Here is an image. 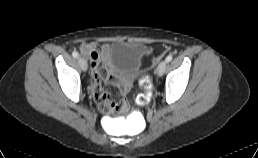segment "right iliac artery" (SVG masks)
<instances>
[{
    "instance_id": "82829eb1",
    "label": "right iliac artery",
    "mask_w": 258,
    "mask_h": 158,
    "mask_svg": "<svg viewBox=\"0 0 258 158\" xmlns=\"http://www.w3.org/2000/svg\"><path fill=\"white\" fill-rule=\"evenodd\" d=\"M72 56H73L74 58H77V57H78V52H77V51H73V52H72Z\"/></svg>"
}]
</instances>
